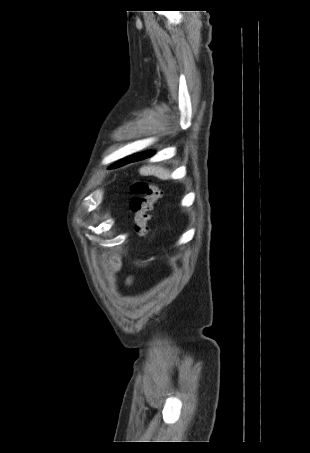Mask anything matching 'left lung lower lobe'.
Returning a JSON list of instances; mask_svg holds the SVG:
<instances>
[{"mask_svg": "<svg viewBox=\"0 0 310 453\" xmlns=\"http://www.w3.org/2000/svg\"><path fill=\"white\" fill-rule=\"evenodd\" d=\"M153 155L152 152H144L142 154H137V155H134L130 162H135V161H139V160H142V159H145V158H148V157H151ZM129 162V163H130Z\"/></svg>", "mask_w": 310, "mask_h": 453, "instance_id": "0a47b994", "label": "left lung lower lobe"}]
</instances>
